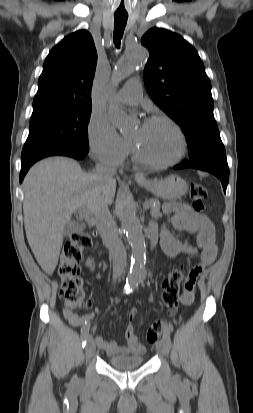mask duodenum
Masks as SVG:
<instances>
[{
	"label": "duodenum",
	"mask_w": 253,
	"mask_h": 413,
	"mask_svg": "<svg viewBox=\"0 0 253 413\" xmlns=\"http://www.w3.org/2000/svg\"><path fill=\"white\" fill-rule=\"evenodd\" d=\"M155 243H156V238H155L154 235H152L151 236V241H150L151 248H153L155 246Z\"/></svg>",
	"instance_id": "1"
}]
</instances>
